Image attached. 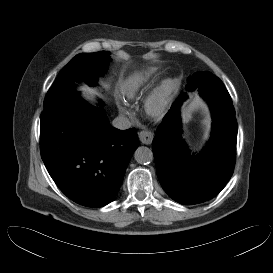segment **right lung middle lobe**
Returning a JSON list of instances; mask_svg holds the SVG:
<instances>
[{"label":"right lung middle lobe","mask_w":273,"mask_h":273,"mask_svg":"<svg viewBox=\"0 0 273 273\" xmlns=\"http://www.w3.org/2000/svg\"><path fill=\"white\" fill-rule=\"evenodd\" d=\"M110 52L100 51L96 53H81L76 55L60 71L56 81L49 89L44 100V106L48 105L55 98L74 90L76 82L82 79L91 82L102 75L109 64ZM96 81L92 85H95Z\"/></svg>","instance_id":"right-lung-middle-lobe-1"}]
</instances>
